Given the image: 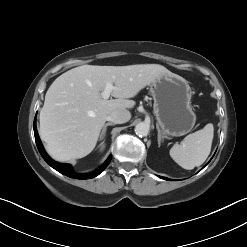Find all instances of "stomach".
<instances>
[{
    "mask_svg": "<svg viewBox=\"0 0 247 247\" xmlns=\"http://www.w3.org/2000/svg\"><path fill=\"white\" fill-rule=\"evenodd\" d=\"M150 91L163 137L183 136L193 129L196 115L191 106L192 91L184 78L161 74L151 83Z\"/></svg>",
    "mask_w": 247,
    "mask_h": 247,
    "instance_id": "1",
    "label": "stomach"
}]
</instances>
